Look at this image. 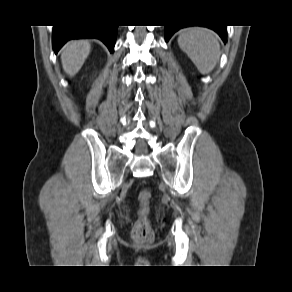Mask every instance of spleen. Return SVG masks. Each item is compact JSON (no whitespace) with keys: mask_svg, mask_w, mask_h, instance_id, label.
Masks as SVG:
<instances>
[{"mask_svg":"<svg viewBox=\"0 0 292 292\" xmlns=\"http://www.w3.org/2000/svg\"><path fill=\"white\" fill-rule=\"evenodd\" d=\"M178 45L203 75L209 74L219 61V37L210 29L202 27L182 29L179 32Z\"/></svg>","mask_w":292,"mask_h":292,"instance_id":"spleen-1","label":"spleen"}]
</instances>
